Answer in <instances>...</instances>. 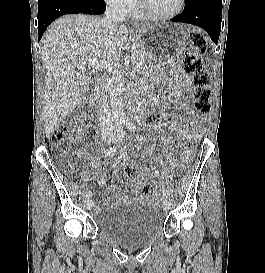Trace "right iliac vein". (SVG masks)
I'll list each match as a JSON object with an SVG mask.
<instances>
[{"mask_svg": "<svg viewBox=\"0 0 265 273\" xmlns=\"http://www.w3.org/2000/svg\"><path fill=\"white\" fill-rule=\"evenodd\" d=\"M108 140H109V141H115V137H114V136H110V137L108 138ZM93 207H94V201H93L92 199H89V200L87 201V208H88V210H91Z\"/></svg>", "mask_w": 265, "mask_h": 273, "instance_id": "1", "label": "right iliac vein"}]
</instances>
